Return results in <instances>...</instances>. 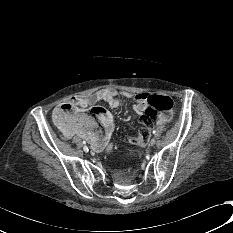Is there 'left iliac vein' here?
<instances>
[{
	"label": "left iliac vein",
	"mask_w": 233,
	"mask_h": 233,
	"mask_svg": "<svg viewBox=\"0 0 233 233\" xmlns=\"http://www.w3.org/2000/svg\"><path fill=\"white\" fill-rule=\"evenodd\" d=\"M156 143V140L155 139H152L150 142H149V146H154Z\"/></svg>",
	"instance_id": "left-iliac-vein-1"
}]
</instances>
